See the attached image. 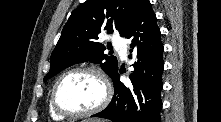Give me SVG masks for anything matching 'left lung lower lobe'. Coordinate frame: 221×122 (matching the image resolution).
<instances>
[{
	"label": "left lung lower lobe",
	"instance_id": "0a47b994",
	"mask_svg": "<svg viewBox=\"0 0 221 122\" xmlns=\"http://www.w3.org/2000/svg\"><path fill=\"white\" fill-rule=\"evenodd\" d=\"M125 38L131 40L130 52L136 51L138 58L133 64L135 71L130 75L133 89L120 82L117 71L112 78L114 83L112 101L93 117L114 122H160L163 45L149 0L138 1Z\"/></svg>",
	"mask_w": 221,
	"mask_h": 122
}]
</instances>
